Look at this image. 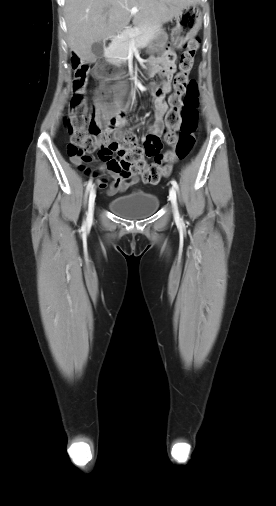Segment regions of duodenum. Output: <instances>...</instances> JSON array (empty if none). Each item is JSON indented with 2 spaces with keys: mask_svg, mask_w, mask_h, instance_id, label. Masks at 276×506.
I'll return each instance as SVG.
<instances>
[{
  "mask_svg": "<svg viewBox=\"0 0 276 506\" xmlns=\"http://www.w3.org/2000/svg\"><path fill=\"white\" fill-rule=\"evenodd\" d=\"M116 40V37L115 36H109L106 38L105 40V47L108 49L113 43L114 41Z\"/></svg>",
  "mask_w": 276,
  "mask_h": 506,
  "instance_id": "410a0bca",
  "label": "duodenum"
}]
</instances>
